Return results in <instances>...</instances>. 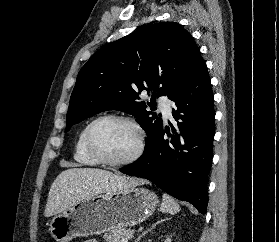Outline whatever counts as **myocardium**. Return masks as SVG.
Masks as SVG:
<instances>
[{"mask_svg": "<svg viewBox=\"0 0 279 242\" xmlns=\"http://www.w3.org/2000/svg\"><path fill=\"white\" fill-rule=\"evenodd\" d=\"M105 121H118L123 122L130 125L136 132L137 135V144L136 148L133 153L121 160H111L105 157L100 150L96 146L95 142V130L99 124ZM86 145L89 153L101 164L112 166V167H120L126 166L134 163L138 158L141 156L143 149H144V130L139 122L130 117L125 115H117V114H108L104 116H100L92 121L87 129L86 134Z\"/></svg>", "mask_w": 279, "mask_h": 242, "instance_id": "1", "label": "myocardium"}]
</instances>
